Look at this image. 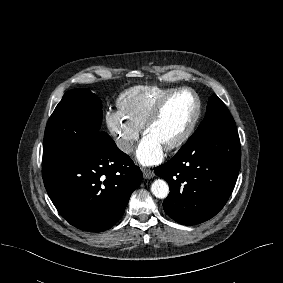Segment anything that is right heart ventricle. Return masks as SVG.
<instances>
[{
	"label": "right heart ventricle",
	"mask_w": 283,
	"mask_h": 283,
	"mask_svg": "<svg viewBox=\"0 0 283 283\" xmlns=\"http://www.w3.org/2000/svg\"><path fill=\"white\" fill-rule=\"evenodd\" d=\"M173 89L158 86L132 87L118 99L119 111L132 125L141 129L155 103Z\"/></svg>",
	"instance_id": "e07e8e85"
}]
</instances>
